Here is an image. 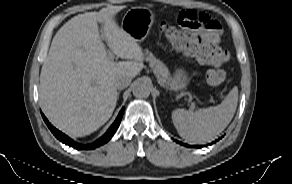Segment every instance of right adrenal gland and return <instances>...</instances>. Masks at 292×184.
Instances as JSON below:
<instances>
[{
	"mask_svg": "<svg viewBox=\"0 0 292 184\" xmlns=\"http://www.w3.org/2000/svg\"><path fill=\"white\" fill-rule=\"evenodd\" d=\"M119 94H120V92H118V96H117V99L119 98Z\"/></svg>",
	"mask_w": 292,
	"mask_h": 184,
	"instance_id": "2a0ac1e0",
	"label": "right adrenal gland"
}]
</instances>
